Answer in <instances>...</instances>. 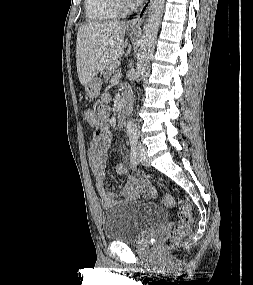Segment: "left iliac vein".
I'll return each instance as SVG.
<instances>
[{
  "label": "left iliac vein",
  "instance_id": "4c4485c4",
  "mask_svg": "<svg viewBox=\"0 0 253 285\" xmlns=\"http://www.w3.org/2000/svg\"><path fill=\"white\" fill-rule=\"evenodd\" d=\"M137 153L140 162L146 167L150 166V161L148 159L146 146L143 144H138Z\"/></svg>",
  "mask_w": 253,
  "mask_h": 285
}]
</instances>
